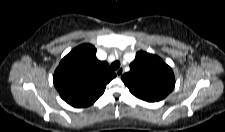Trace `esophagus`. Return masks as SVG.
Wrapping results in <instances>:
<instances>
[{
	"mask_svg": "<svg viewBox=\"0 0 225 132\" xmlns=\"http://www.w3.org/2000/svg\"><path fill=\"white\" fill-rule=\"evenodd\" d=\"M123 73H124V69L123 68H119V69L116 70V75L118 77H121L123 75Z\"/></svg>",
	"mask_w": 225,
	"mask_h": 132,
	"instance_id": "34e87169",
	"label": "esophagus"
}]
</instances>
